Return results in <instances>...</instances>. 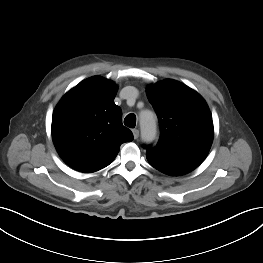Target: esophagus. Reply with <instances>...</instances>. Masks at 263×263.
I'll use <instances>...</instances> for the list:
<instances>
[{
  "instance_id": "esophagus-1",
  "label": "esophagus",
  "mask_w": 263,
  "mask_h": 263,
  "mask_svg": "<svg viewBox=\"0 0 263 263\" xmlns=\"http://www.w3.org/2000/svg\"><path fill=\"white\" fill-rule=\"evenodd\" d=\"M132 133H133L134 139H137L139 137V130L138 129H133Z\"/></svg>"
}]
</instances>
